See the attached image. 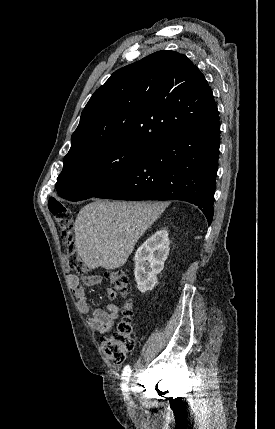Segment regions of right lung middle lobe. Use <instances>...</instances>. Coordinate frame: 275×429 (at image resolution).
I'll use <instances>...</instances> for the list:
<instances>
[{
  "mask_svg": "<svg viewBox=\"0 0 275 429\" xmlns=\"http://www.w3.org/2000/svg\"><path fill=\"white\" fill-rule=\"evenodd\" d=\"M149 147L135 144L111 145L65 163L57 178L58 194L70 201L93 197L144 160Z\"/></svg>",
  "mask_w": 275,
  "mask_h": 429,
  "instance_id": "obj_1",
  "label": "right lung middle lobe"
}]
</instances>
